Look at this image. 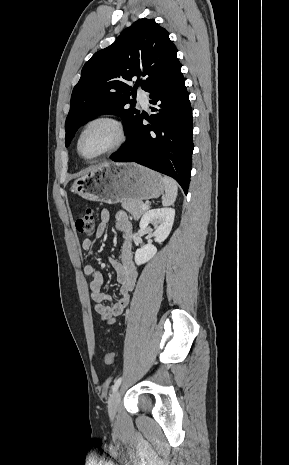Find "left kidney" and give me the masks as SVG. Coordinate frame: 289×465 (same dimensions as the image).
Wrapping results in <instances>:
<instances>
[{
	"instance_id": "1",
	"label": "left kidney",
	"mask_w": 289,
	"mask_h": 465,
	"mask_svg": "<svg viewBox=\"0 0 289 465\" xmlns=\"http://www.w3.org/2000/svg\"><path fill=\"white\" fill-rule=\"evenodd\" d=\"M175 217V210L172 208H158L145 212L140 220V229L151 232L156 242H163L171 232ZM150 224L154 229L150 228ZM157 253V248L152 244H146L135 252V263L144 264L152 259Z\"/></svg>"
}]
</instances>
